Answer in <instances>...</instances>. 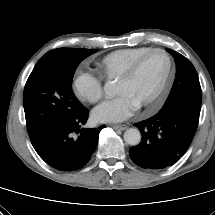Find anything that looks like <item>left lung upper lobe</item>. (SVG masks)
I'll list each match as a JSON object with an SVG mask.
<instances>
[{"label": "left lung upper lobe", "instance_id": "left-lung-upper-lobe-1", "mask_svg": "<svg viewBox=\"0 0 215 215\" xmlns=\"http://www.w3.org/2000/svg\"><path fill=\"white\" fill-rule=\"evenodd\" d=\"M176 62V77L162 110L180 105L200 114L202 91L197 72L192 63L180 53L168 50Z\"/></svg>", "mask_w": 215, "mask_h": 215}]
</instances>
